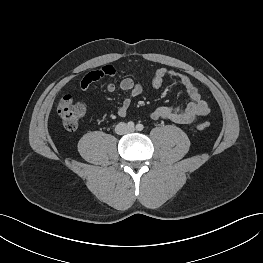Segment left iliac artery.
<instances>
[{
	"label": "left iliac artery",
	"mask_w": 263,
	"mask_h": 263,
	"mask_svg": "<svg viewBox=\"0 0 263 263\" xmlns=\"http://www.w3.org/2000/svg\"><path fill=\"white\" fill-rule=\"evenodd\" d=\"M143 128H144V126H143L142 124H137V125H136V129H137L138 131H142Z\"/></svg>",
	"instance_id": "44dca946"
}]
</instances>
